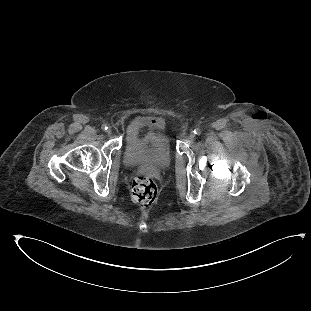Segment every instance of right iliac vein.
Instances as JSON below:
<instances>
[{"mask_svg":"<svg viewBox=\"0 0 311 311\" xmlns=\"http://www.w3.org/2000/svg\"><path fill=\"white\" fill-rule=\"evenodd\" d=\"M106 133H107L108 135H110V134L112 133V130L109 128V129L106 131Z\"/></svg>","mask_w":311,"mask_h":311,"instance_id":"1","label":"right iliac vein"}]
</instances>
